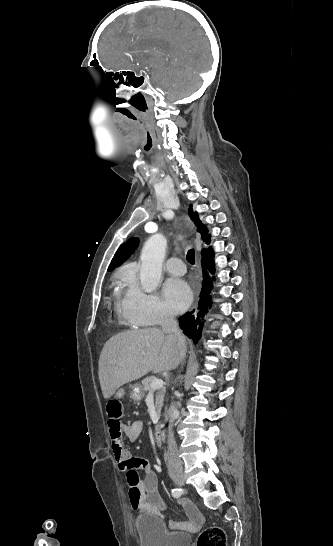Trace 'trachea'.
I'll use <instances>...</instances> for the list:
<instances>
[{"label":"trachea","mask_w":333,"mask_h":546,"mask_svg":"<svg viewBox=\"0 0 333 546\" xmlns=\"http://www.w3.org/2000/svg\"><path fill=\"white\" fill-rule=\"evenodd\" d=\"M186 258H187V261H188L190 264L194 265V263H195V254H194V250H193V249H190V250L187 252Z\"/></svg>","instance_id":"1"}]
</instances>
